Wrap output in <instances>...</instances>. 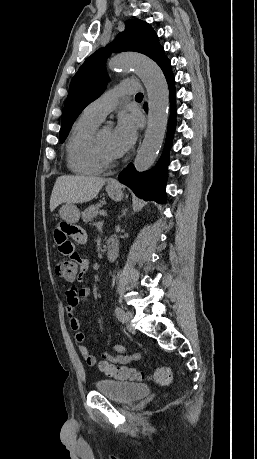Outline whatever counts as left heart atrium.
Listing matches in <instances>:
<instances>
[{
    "label": "left heart atrium",
    "mask_w": 257,
    "mask_h": 459,
    "mask_svg": "<svg viewBox=\"0 0 257 459\" xmlns=\"http://www.w3.org/2000/svg\"><path fill=\"white\" fill-rule=\"evenodd\" d=\"M139 121L133 115H121L113 131V149L116 156L126 153L135 143Z\"/></svg>",
    "instance_id": "left-heart-atrium-1"
}]
</instances>
